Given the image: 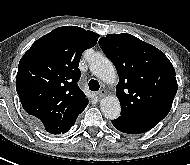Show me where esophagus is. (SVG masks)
Wrapping results in <instances>:
<instances>
[{
	"label": "esophagus",
	"instance_id": "34e87169",
	"mask_svg": "<svg viewBox=\"0 0 190 165\" xmlns=\"http://www.w3.org/2000/svg\"><path fill=\"white\" fill-rule=\"evenodd\" d=\"M106 95H107V92H106V90H104V89H101L99 92H97V97H98L99 99L103 98V97L106 96Z\"/></svg>",
	"mask_w": 190,
	"mask_h": 165
}]
</instances>
